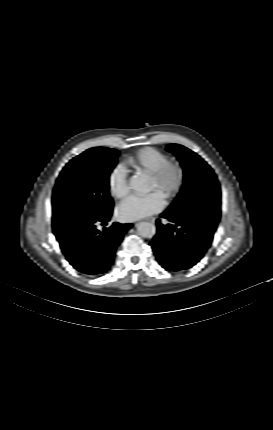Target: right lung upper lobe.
<instances>
[{
	"mask_svg": "<svg viewBox=\"0 0 273 430\" xmlns=\"http://www.w3.org/2000/svg\"><path fill=\"white\" fill-rule=\"evenodd\" d=\"M101 148V150H104V151H108V149H110V148H105V147H100Z\"/></svg>",
	"mask_w": 273,
	"mask_h": 430,
	"instance_id": "obj_1",
	"label": "right lung upper lobe"
}]
</instances>
